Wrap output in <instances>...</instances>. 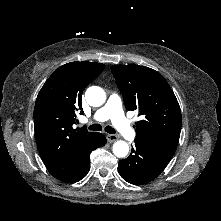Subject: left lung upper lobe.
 <instances>
[{
	"label": "left lung upper lobe",
	"instance_id": "5c2ea615",
	"mask_svg": "<svg viewBox=\"0 0 221 221\" xmlns=\"http://www.w3.org/2000/svg\"><path fill=\"white\" fill-rule=\"evenodd\" d=\"M112 73L127 110H136V140L174 154L181 131L178 101L164 77L146 66L113 65Z\"/></svg>",
	"mask_w": 221,
	"mask_h": 221
}]
</instances>
